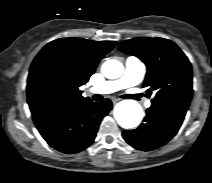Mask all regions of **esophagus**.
Segmentation results:
<instances>
[{"instance_id":"esophagus-1","label":"esophagus","mask_w":212,"mask_h":183,"mask_svg":"<svg viewBox=\"0 0 212 183\" xmlns=\"http://www.w3.org/2000/svg\"><path fill=\"white\" fill-rule=\"evenodd\" d=\"M119 100H120V99H118V98H113V99H112V102L115 104V103H117Z\"/></svg>"}]
</instances>
